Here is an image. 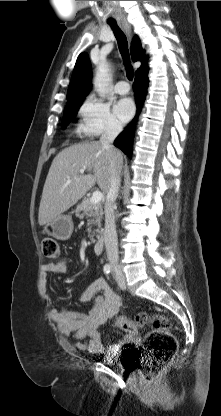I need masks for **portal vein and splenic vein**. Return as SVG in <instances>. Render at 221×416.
Here are the masks:
<instances>
[{
    "mask_svg": "<svg viewBox=\"0 0 221 416\" xmlns=\"http://www.w3.org/2000/svg\"><path fill=\"white\" fill-rule=\"evenodd\" d=\"M80 173H84V170H80ZM70 182V181H69ZM103 199V194L100 191H95L92 194V197L90 198V202L92 204H98Z\"/></svg>",
    "mask_w": 221,
    "mask_h": 416,
    "instance_id": "obj_1",
    "label": "portal vein and splenic vein"
}]
</instances>
